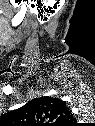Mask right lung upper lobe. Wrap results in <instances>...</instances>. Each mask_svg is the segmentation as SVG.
<instances>
[{"mask_svg":"<svg viewBox=\"0 0 95 126\" xmlns=\"http://www.w3.org/2000/svg\"><path fill=\"white\" fill-rule=\"evenodd\" d=\"M9 122L18 126H72L74 117L59 98L44 96L30 100L19 109L6 114Z\"/></svg>","mask_w":95,"mask_h":126,"instance_id":"1","label":"right lung upper lobe"}]
</instances>
